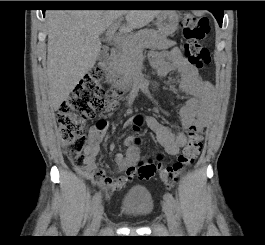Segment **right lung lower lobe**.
Returning <instances> with one entry per match:
<instances>
[{
	"mask_svg": "<svg viewBox=\"0 0 265 245\" xmlns=\"http://www.w3.org/2000/svg\"><path fill=\"white\" fill-rule=\"evenodd\" d=\"M43 11V14H45V10H42Z\"/></svg>",
	"mask_w": 265,
	"mask_h": 245,
	"instance_id": "obj_1",
	"label": "right lung lower lobe"
}]
</instances>
